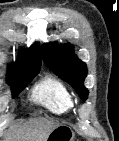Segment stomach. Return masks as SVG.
<instances>
[{"label":"stomach","mask_w":119,"mask_h":141,"mask_svg":"<svg viewBox=\"0 0 119 141\" xmlns=\"http://www.w3.org/2000/svg\"><path fill=\"white\" fill-rule=\"evenodd\" d=\"M74 132L66 125H59L48 135L46 141H74Z\"/></svg>","instance_id":"0dacf381"}]
</instances>
